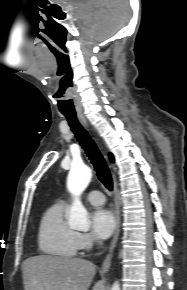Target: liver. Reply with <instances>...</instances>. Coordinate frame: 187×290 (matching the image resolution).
I'll use <instances>...</instances> for the list:
<instances>
[{
	"label": "liver",
	"instance_id": "liver-1",
	"mask_svg": "<svg viewBox=\"0 0 187 290\" xmlns=\"http://www.w3.org/2000/svg\"><path fill=\"white\" fill-rule=\"evenodd\" d=\"M25 290H88L96 273V266L85 259L38 255L22 265ZM92 290H105L98 281Z\"/></svg>",
	"mask_w": 187,
	"mask_h": 290
}]
</instances>
